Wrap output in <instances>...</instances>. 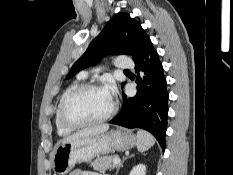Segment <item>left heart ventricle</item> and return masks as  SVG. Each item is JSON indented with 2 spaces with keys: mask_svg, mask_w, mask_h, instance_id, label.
I'll use <instances>...</instances> for the list:
<instances>
[{
  "mask_svg": "<svg viewBox=\"0 0 233 175\" xmlns=\"http://www.w3.org/2000/svg\"><path fill=\"white\" fill-rule=\"evenodd\" d=\"M112 104L104 89L90 90L73 99L68 107V115L75 121L97 119L105 115Z\"/></svg>",
  "mask_w": 233,
  "mask_h": 175,
  "instance_id": "obj_1",
  "label": "left heart ventricle"
}]
</instances>
